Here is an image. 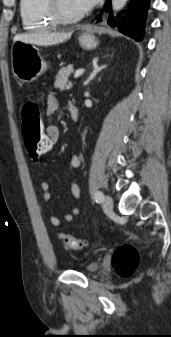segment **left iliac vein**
Instances as JSON below:
<instances>
[{
	"label": "left iliac vein",
	"instance_id": "4c4485c4",
	"mask_svg": "<svg viewBox=\"0 0 171 337\" xmlns=\"http://www.w3.org/2000/svg\"><path fill=\"white\" fill-rule=\"evenodd\" d=\"M103 209L107 212H110L113 210V199L111 196L107 195L104 197Z\"/></svg>",
	"mask_w": 171,
	"mask_h": 337
}]
</instances>
